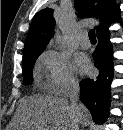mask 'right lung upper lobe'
Segmentation results:
<instances>
[{"mask_svg": "<svg viewBox=\"0 0 123 130\" xmlns=\"http://www.w3.org/2000/svg\"><path fill=\"white\" fill-rule=\"evenodd\" d=\"M76 9L84 17L98 18L101 23L97 26L96 33L108 29L111 22H120V8L115 0H75ZM55 20L53 10L45 8L33 18L27 35L23 57L42 53L53 34Z\"/></svg>", "mask_w": 123, "mask_h": 130, "instance_id": "right-lung-upper-lobe-1", "label": "right lung upper lobe"}]
</instances>
